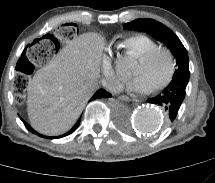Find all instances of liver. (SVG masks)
I'll use <instances>...</instances> for the list:
<instances>
[{"label":"liver","instance_id":"liver-1","mask_svg":"<svg viewBox=\"0 0 215 183\" xmlns=\"http://www.w3.org/2000/svg\"><path fill=\"white\" fill-rule=\"evenodd\" d=\"M103 38L85 33L71 40L28 84L31 126L44 135L68 131L98 86Z\"/></svg>","mask_w":215,"mask_h":183}]
</instances>
